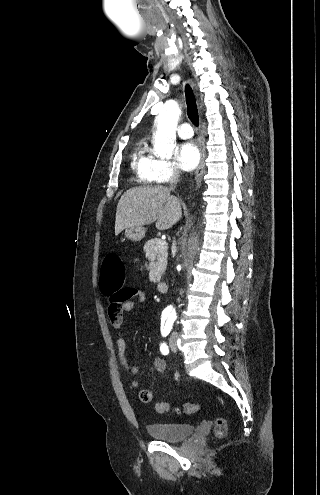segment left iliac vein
<instances>
[{
  "label": "left iliac vein",
  "mask_w": 320,
  "mask_h": 495,
  "mask_svg": "<svg viewBox=\"0 0 320 495\" xmlns=\"http://www.w3.org/2000/svg\"><path fill=\"white\" fill-rule=\"evenodd\" d=\"M176 339L177 335L175 333H173L169 338V347L173 352L177 351Z\"/></svg>",
  "instance_id": "1"
}]
</instances>
